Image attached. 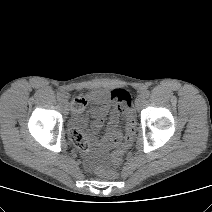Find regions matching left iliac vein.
I'll list each match as a JSON object with an SVG mask.
<instances>
[{"label": "left iliac vein", "instance_id": "obj_1", "mask_svg": "<svg viewBox=\"0 0 212 212\" xmlns=\"http://www.w3.org/2000/svg\"><path fill=\"white\" fill-rule=\"evenodd\" d=\"M144 102H145V97L142 94L138 95L135 100L136 109L140 110L143 107Z\"/></svg>", "mask_w": 212, "mask_h": 212}]
</instances>
